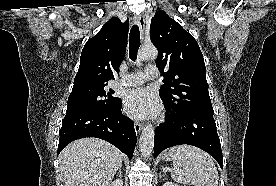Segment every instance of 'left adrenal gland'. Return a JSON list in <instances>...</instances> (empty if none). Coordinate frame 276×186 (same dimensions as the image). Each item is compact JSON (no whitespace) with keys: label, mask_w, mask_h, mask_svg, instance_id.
<instances>
[{"label":"left adrenal gland","mask_w":276,"mask_h":186,"mask_svg":"<svg viewBox=\"0 0 276 186\" xmlns=\"http://www.w3.org/2000/svg\"><path fill=\"white\" fill-rule=\"evenodd\" d=\"M164 171V170H163ZM162 175H161V173H159V177H161Z\"/></svg>","instance_id":"obj_1"}]
</instances>
